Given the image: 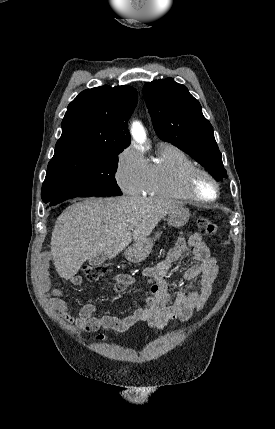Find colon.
<instances>
[{
    "instance_id": "1",
    "label": "colon",
    "mask_w": 275,
    "mask_h": 429,
    "mask_svg": "<svg viewBox=\"0 0 275 429\" xmlns=\"http://www.w3.org/2000/svg\"><path fill=\"white\" fill-rule=\"evenodd\" d=\"M199 230L208 236H214L218 233L216 223L207 217H199L197 220ZM106 273V268L101 265H86L83 267V274L88 280H98Z\"/></svg>"
}]
</instances>
